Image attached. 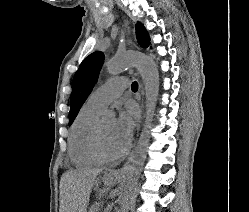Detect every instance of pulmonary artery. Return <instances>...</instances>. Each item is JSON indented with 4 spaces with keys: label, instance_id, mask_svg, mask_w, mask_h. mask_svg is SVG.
Here are the masks:
<instances>
[{
    "label": "pulmonary artery",
    "instance_id": "pulmonary-artery-1",
    "mask_svg": "<svg viewBox=\"0 0 249 212\" xmlns=\"http://www.w3.org/2000/svg\"><path fill=\"white\" fill-rule=\"evenodd\" d=\"M127 85L128 79L124 76L109 79L90 95L88 101L95 107L103 110L113 100L123 94Z\"/></svg>",
    "mask_w": 249,
    "mask_h": 212
}]
</instances>
